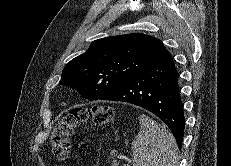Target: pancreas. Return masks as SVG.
I'll list each match as a JSON object with an SVG mask.
<instances>
[{
  "label": "pancreas",
  "mask_w": 231,
  "mask_h": 166,
  "mask_svg": "<svg viewBox=\"0 0 231 166\" xmlns=\"http://www.w3.org/2000/svg\"><path fill=\"white\" fill-rule=\"evenodd\" d=\"M112 166H118V163H117V162H114Z\"/></svg>",
  "instance_id": "obj_1"
}]
</instances>
